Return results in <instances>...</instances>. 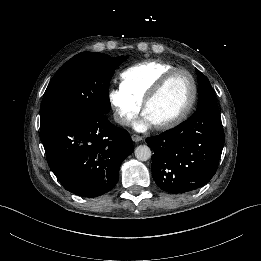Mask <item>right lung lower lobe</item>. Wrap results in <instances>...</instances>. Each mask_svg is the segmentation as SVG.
Listing matches in <instances>:
<instances>
[{
    "instance_id": "1",
    "label": "right lung lower lobe",
    "mask_w": 261,
    "mask_h": 261,
    "mask_svg": "<svg viewBox=\"0 0 261 261\" xmlns=\"http://www.w3.org/2000/svg\"><path fill=\"white\" fill-rule=\"evenodd\" d=\"M49 167L69 192L97 197L119 179L121 163L132 153L129 133L106 114H83L49 120L40 126Z\"/></svg>"
}]
</instances>
